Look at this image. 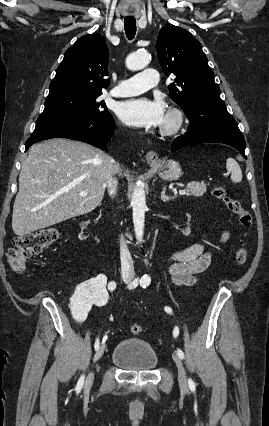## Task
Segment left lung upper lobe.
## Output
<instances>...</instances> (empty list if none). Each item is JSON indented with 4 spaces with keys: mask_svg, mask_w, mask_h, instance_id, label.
I'll return each instance as SVG.
<instances>
[{
    "mask_svg": "<svg viewBox=\"0 0 269 426\" xmlns=\"http://www.w3.org/2000/svg\"><path fill=\"white\" fill-rule=\"evenodd\" d=\"M156 50L166 76H175L168 89L172 100L185 114L198 105L224 103L202 46L189 32L174 25L164 26L159 32Z\"/></svg>",
    "mask_w": 269,
    "mask_h": 426,
    "instance_id": "5c2ea615",
    "label": "left lung upper lobe"
}]
</instances>
